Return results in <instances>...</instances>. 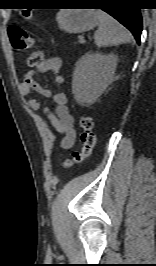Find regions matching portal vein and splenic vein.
<instances>
[{
    "label": "portal vein and splenic vein",
    "instance_id": "18ae733b",
    "mask_svg": "<svg viewBox=\"0 0 156 266\" xmlns=\"http://www.w3.org/2000/svg\"><path fill=\"white\" fill-rule=\"evenodd\" d=\"M85 41L83 39L80 40V43H84Z\"/></svg>",
    "mask_w": 156,
    "mask_h": 266
}]
</instances>
